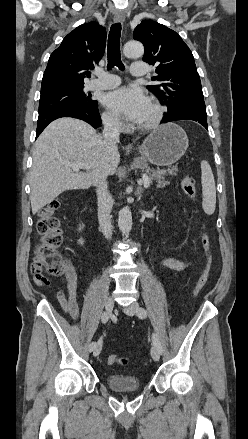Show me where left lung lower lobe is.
Segmentation results:
<instances>
[{"label": "left lung lower lobe", "mask_w": 248, "mask_h": 439, "mask_svg": "<svg viewBox=\"0 0 248 439\" xmlns=\"http://www.w3.org/2000/svg\"><path fill=\"white\" fill-rule=\"evenodd\" d=\"M178 120H193L201 125H203L207 130V114L206 110L193 108V107H184L179 108L176 111L164 115L161 120V123H167Z\"/></svg>", "instance_id": "obj_1"}]
</instances>
